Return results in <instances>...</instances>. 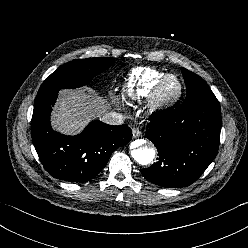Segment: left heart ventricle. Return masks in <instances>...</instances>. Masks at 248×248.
Instances as JSON below:
<instances>
[{"mask_svg":"<svg viewBox=\"0 0 248 248\" xmlns=\"http://www.w3.org/2000/svg\"><path fill=\"white\" fill-rule=\"evenodd\" d=\"M178 91V82L175 79H169L162 90L164 97L169 98L174 96Z\"/></svg>","mask_w":248,"mask_h":248,"instance_id":"obj_1","label":"left heart ventricle"}]
</instances>
